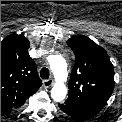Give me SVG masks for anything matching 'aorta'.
<instances>
[{"instance_id": "1", "label": "aorta", "mask_w": 122, "mask_h": 122, "mask_svg": "<svg viewBox=\"0 0 122 122\" xmlns=\"http://www.w3.org/2000/svg\"><path fill=\"white\" fill-rule=\"evenodd\" d=\"M50 68L54 74L56 83L51 89V97L56 102H61L65 99L67 88L64 82L67 80L68 71L67 63L62 55L53 56L50 61Z\"/></svg>"}]
</instances>
